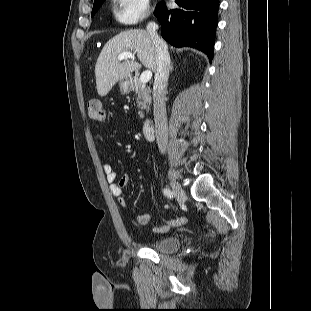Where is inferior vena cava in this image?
<instances>
[{
  "label": "inferior vena cava",
  "instance_id": "inferior-vena-cava-1",
  "mask_svg": "<svg viewBox=\"0 0 311 311\" xmlns=\"http://www.w3.org/2000/svg\"><path fill=\"white\" fill-rule=\"evenodd\" d=\"M146 29L154 43L157 55L153 86L155 133L158 148L161 153H165L168 144L165 96L170 69V56L166 42L157 34L158 25L155 22H149Z\"/></svg>",
  "mask_w": 311,
  "mask_h": 311
}]
</instances>
